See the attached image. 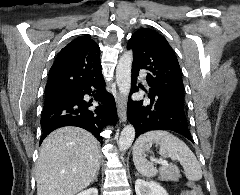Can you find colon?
Returning a JSON list of instances; mask_svg holds the SVG:
<instances>
[{"instance_id":"colon-1","label":"colon","mask_w":240,"mask_h":195,"mask_svg":"<svg viewBox=\"0 0 240 195\" xmlns=\"http://www.w3.org/2000/svg\"><path fill=\"white\" fill-rule=\"evenodd\" d=\"M190 195H202V189H198L197 187H195L194 183H191L190 184Z\"/></svg>"}]
</instances>
